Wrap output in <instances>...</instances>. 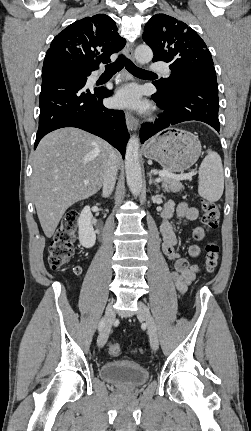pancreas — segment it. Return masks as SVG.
I'll list each match as a JSON object with an SVG mask.
<instances>
[{
    "label": "pancreas",
    "instance_id": "1",
    "mask_svg": "<svg viewBox=\"0 0 251 431\" xmlns=\"http://www.w3.org/2000/svg\"><path fill=\"white\" fill-rule=\"evenodd\" d=\"M161 181L162 188L164 191L179 192L184 189V186L179 180L168 177H161Z\"/></svg>",
    "mask_w": 251,
    "mask_h": 431
}]
</instances>
